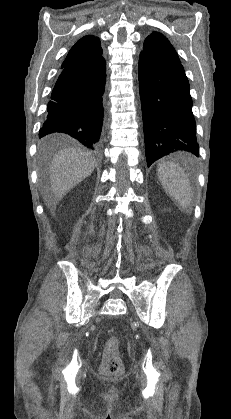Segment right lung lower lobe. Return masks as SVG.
<instances>
[{"label":"right lung lower lobe","mask_w":231,"mask_h":419,"mask_svg":"<svg viewBox=\"0 0 231 419\" xmlns=\"http://www.w3.org/2000/svg\"><path fill=\"white\" fill-rule=\"evenodd\" d=\"M61 69L39 137L65 133L97 152L103 123L105 60Z\"/></svg>","instance_id":"right-lung-lower-lobe-1"}]
</instances>
